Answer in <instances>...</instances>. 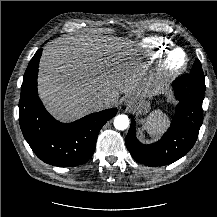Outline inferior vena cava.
<instances>
[{
    "mask_svg": "<svg viewBox=\"0 0 217 217\" xmlns=\"http://www.w3.org/2000/svg\"><path fill=\"white\" fill-rule=\"evenodd\" d=\"M111 101L108 99L100 98V97H92L89 100V106L92 111H99L101 109L106 108L107 105H110Z\"/></svg>",
    "mask_w": 217,
    "mask_h": 217,
    "instance_id": "602c4592",
    "label": "inferior vena cava"
}]
</instances>
